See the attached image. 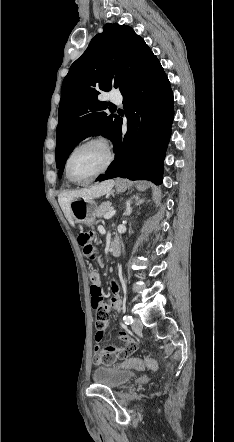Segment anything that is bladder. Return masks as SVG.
<instances>
[{"label":"bladder","mask_w":234,"mask_h":442,"mask_svg":"<svg viewBox=\"0 0 234 442\" xmlns=\"http://www.w3.org/2000/svg\"><path fill=\"white\" fill-rule=\"evenodd\" d=\"M135 373L121 366H100L93 372V381L110 388H117L134 377Z\"/></svg>","instance_id":"obj_1"}]
</instances>
